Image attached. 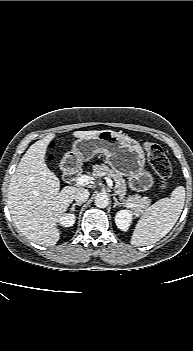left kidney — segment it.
Wrapping results in <instances>:
<instances>
[{"mask_svg":"<svg viewBox=\"0 0 193 351\" xmlns=\"http://www.w3.org/2000/svg\"><path fill=\"white\" fill-rule=\"evenodd\" d=\"M134 213L130 210H120L115 216L117 227L123 231H127L132 223Z\"/></svg>","mask_w":193,"mask_h":351,"instance_id":"1","label":"left kidney"}]
</instances>
